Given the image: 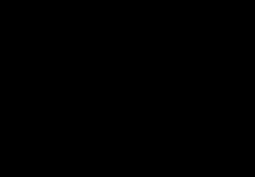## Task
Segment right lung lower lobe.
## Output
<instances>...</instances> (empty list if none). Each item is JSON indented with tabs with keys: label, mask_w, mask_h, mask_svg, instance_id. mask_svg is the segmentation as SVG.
<instances>
[{
	"label": "right lung lower lobe",
	"mask_w": 255,
	"mask_h": 177,
	"mask_svg": "<svg viewBox=\"0 0 255 177\" xmlns=\"http://www.w3.org/2000/svg\"><path fill=\"white\" fill-rule=\"evenodd\" d=\"M109 104L106 100L63 106L53 115L55 126L68 137L85 147L97 140L102 118H107Z\"/></svg>",
	"instance_id": "obj_1"
}]
</instances>
